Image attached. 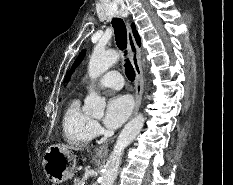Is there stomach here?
Returning <instances> with one entry per match:
<instances>
[{
    "label": "stomach",
    "instance_id": "obj_1",
    "mask_svg": "<svg viewBox=\"0 0 233 185\" xmlns=\"http://www.w3.org/2000/svg\"><path fill=\"white\" fill-rule=\"evenodd\" d=\"M75 165V155L69 149L57 145L48 147L43 155L44 172L54 184H61L71 179L74 176Z\"/></svg>",
    "mask_w": 233,
    "mask_h": 185
}]
</instances>
